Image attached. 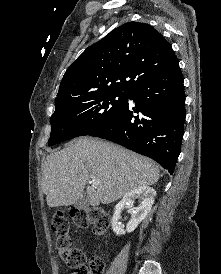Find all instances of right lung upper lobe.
I'll return each mask as SVG.
<instances>
[{"mask_svg":"<svg viewBox=\"0 0 221 274\" xmlns=\"http://www.w3.org/2000/svg\"><path fill=\"white\" fill-rule=\"evenodd\" d=\"M176 62L171 45L151 25L125 23L70 65L55 104L109 93L130 94Z\"/></svg>","mask_w":221,"mask_h":274,"instance_id":"right-lung-upper-lobe-1","label":"right lung upper lobe"}]
</instances>
